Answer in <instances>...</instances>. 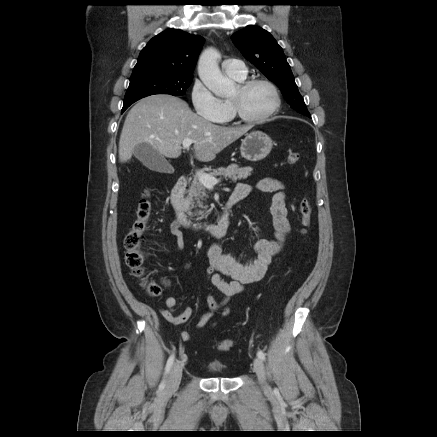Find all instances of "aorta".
Listing matches in <instances>:
<instances>
[{"instance_id":"762f6f07","label":"aorta","mask_w":437,"mask_h":437,"mask_svg":"<svg viewBox=\"0 0 437 437\" xmlns=\"http://www.w3.org/2000/svg\"><path fill=\"white\" fill-rule=\"evenodd\" d=\"M219 58L220 53L216 49H205L198 61V74L204 85L216 96L226 97L234 93L235 83L221 73Z\"/></svg>"}]
</instances>
